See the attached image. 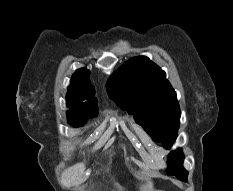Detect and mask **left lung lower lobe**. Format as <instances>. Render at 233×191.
<instances>
[{"instance_id": "0a47b994", "label": "left lung lower lobe", "mask_w": 233, "mask_h": 191, "mask_svg": "<svg viewBox=\"0 0 233 191\" xmlns=\"http://www.w3.org/2000/svg\"><path fill=\"white\" fill-rule=\"evenodd\" d=\"M179 180L186 182L187 181V176H183V177H177Z\"/></svg>"}]
</instances>
